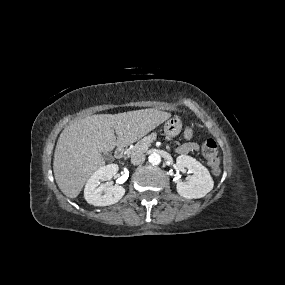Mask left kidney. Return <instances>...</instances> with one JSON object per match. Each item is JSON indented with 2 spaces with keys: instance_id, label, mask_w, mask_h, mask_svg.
<instances>
[{
  "instance_id": "obj_1",
  "label": "left kidney",
  "mask_w": 285,
  "mask_h": 285,
  "mask_svg": "<svg viewBox=\"0 0 285 285\" xmlns=\"http://www.w3.org/2000/svg\"><path fill=\"white\" fill-rule=\"evenodd\" d=\"M176 164L180 171L188 169L193 173L189 181L177 183L176 189L180 196L187 199L201 198L213 189L214 182L208 169L196 159L180 155L177 157Z\"/></svg>"
}]
</instances>
